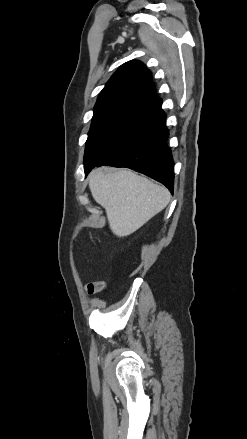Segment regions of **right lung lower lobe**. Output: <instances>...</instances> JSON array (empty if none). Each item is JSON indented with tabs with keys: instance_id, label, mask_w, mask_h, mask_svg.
Instances as JSON below:
<instances>
[{
	"instance_id": "98d812e1",
	"label": "right lung lower lobe",
	"mask_w": 247,
	"mask_h": 439,
	"mask_svg": "<svg viewBox=\"0 0 247 439\" xmlns=\"http://www.w3.org/2000/svg\"><path fill=\"white\" fill-rule=\"evenodd\" d=\"M166 114L160 110L139 131L96 164L84 166L87 175L95 166L127 167L164 184L173 193L174 162L166 142Z\"/></svg>"
}]
</instances>
